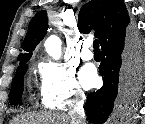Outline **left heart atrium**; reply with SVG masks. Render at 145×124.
Returning a JSON list of instances; mask_svg holds the SVG:
<instances>
[{"label":"left heart atrium","instance_id":"1","mask_svg":"<svg viewBox=\"0 0 145 124\" xmlns=\"http://www.w3.org/2000/svg\"><path fill=\"white\" fill-rule=\"evenodd\" d=\"M97 81L96 71L92 66H85L81 71V82L84 87L90 88Z\"/></svg>","mask_w":145,"mask_h":124}]
</instances>
